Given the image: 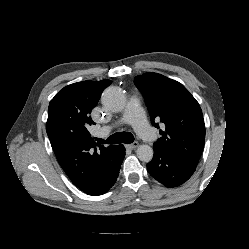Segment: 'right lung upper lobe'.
<instances>
[{
	"mask_svg": "<svg viewBox=\"0 0 249 249\" xmlns=\"http://www.w3.org/2000/svg\"><path fill=\"white\" fill-rule=\"evenodd\" d=\"M111 83L101 80L68 85L48 107L46 131L56 158L71 181L85 193H90L116 164V145L99 146L86 129L95 124L91 110Z\"/></svg>",
	"mask_w": 249,
	"mask_h": 249,
	"instance_id": "right-lung-upper-lobe-1",
	"label": "right lung upper lobe"
}]
</instances>
